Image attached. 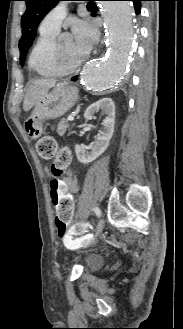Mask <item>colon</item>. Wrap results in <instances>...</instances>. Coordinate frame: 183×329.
Masks as SVG:
<instances>
[{
  "label": "colon",
  "instance_id": "5ec220e1",
  "mask_svg": "<svg viewBox=\"0 0 183 329\" xmlns=\"http://www.w3.org/2000/svg\"><path fill=\"white\" fill-rule=\"evenodd\" d=\"M37 152L43 159H53L52 173L59 176L69 165L71 160L70 151L67 148L57 150V142L52 136L41 137L36 144ZM72 218H55L56 227L61 240L71 235H79L83 231H90V224L76 223L69 227ZM84 237L82 240L87 239Z\"/></svg>",
  "mask_w": 183,
  "mask_h": 329
}]
</instances>
